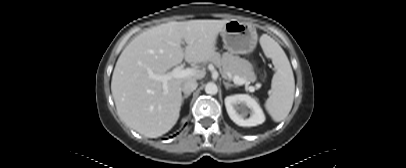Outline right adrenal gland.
I'll use <instances>...</instances> for the list:
<instances>
[{
	"instance_id": "right-adrenal-gland-1",
	"label": "right adrenal gland",
	"mask_w": 406,
	"mask_h": 168,
	"mask_svg": "<svg viewBox=\"0 0 406 168\" xmlns=\"http://www.w3.org/2000/svg\"><path fill=\"white\" fill-rule=\"evenodd\" d=\"M190 96V94H185L183 97H182V103L184 102V100L186 99V98H188Z\"/></svg>"
}]
</instances>
